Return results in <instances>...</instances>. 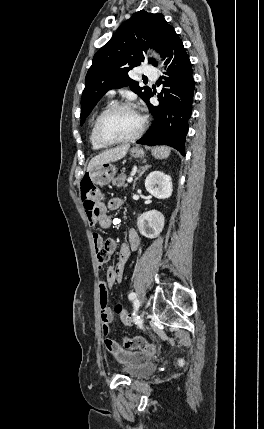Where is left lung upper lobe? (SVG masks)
Wrapping results in <instances>:
<instances>
[{"mask_svg":"<svg viewBox=\"0 0 264 429\" xmlns=\"http://www.w3.org/2000/svg\"><path fill=\"white\" fill-rule=\"evenodd\" d=\"M174 29L162 14L138 11L121 24L114 36L93 57L85 78L81 98V124L100 98L110 89L129 85L131 90L148 101L149 87H140L128 72L144 61L143 51L154 48L161 52L167 34ZM149 62L156 65L154 60Z\"/></svg>","mask_w":264,"mask_h":429,"instance_id":"5c2ea615","label":"left lung upper lobe"}]
</instances>
